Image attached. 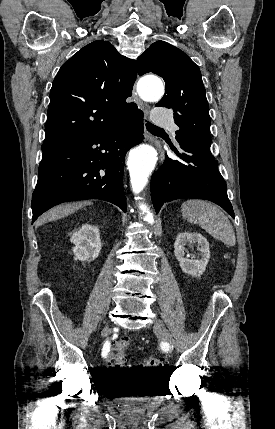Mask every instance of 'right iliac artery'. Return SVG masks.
<instances>
[{
  "instance_id": "1",
  "label": "right iliac artery",
  "mask_w": 275,
  "mask_h": 429,
  "mask_svg": "<svg viewBox=\"0 0 275 429\" xmlns=\"http://www.w3.org/2000/svg\"><path fill=\"white\" fill-rule=\"evenodd\" d=\"M110 350V343L107 341L105 342L103 349H102V356L106 357L108 355V352Z\"/></svg>"
}]
</instances>
